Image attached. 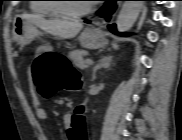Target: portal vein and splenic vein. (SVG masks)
Returning a JSON list of instances; mask_svg holds the SVG:
<instances>
[{
	"label": "portal vein and splenic vein",
	"instance_id": "18ae733b",
	"mask_svg": "<svg viewBox=\"0 0 182 140\" xmlns=\"http://www.w3.org/2000/svg\"><path fill=\"white\" fill-rule=\"evenodd\" d=\"M86 63L89 64V65L93 64V60L92 59H86Z\"/></svg>",
	"mask_w": 182,
	"mask_h": 140
}]
</instances>
